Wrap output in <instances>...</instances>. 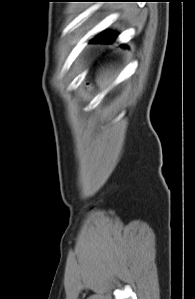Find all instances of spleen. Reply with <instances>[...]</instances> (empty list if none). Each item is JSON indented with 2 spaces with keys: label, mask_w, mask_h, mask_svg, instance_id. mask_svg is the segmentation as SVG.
Returning a JSON list of instances; mask_svg holds the SVG:
<instances>
[{
  "label": "spleen",
  "mask_w": 195,
  "mask_h": 299,
  "mask_svg": "<svg viewBox=\"0 0 195 299\" xmlns=\"http://www.w3.org/2000/svg\"><path fill=\"white\" fill-rule=\"evenodd\" d=\"M111 82V78H108V75H102V77H100L98 79V84L101 86V88H105L109 83Z\"/></svg>",
  "instance_id": "obj_1"
}]
</instances>
